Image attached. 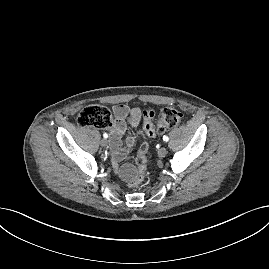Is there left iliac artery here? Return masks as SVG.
<instances>
[{
  "label": "left iliac artery",
  "mask_w": 269,
  "mask_h": 269,
  "mask_svg": "<svg viewBox=\"0 0 269 269\" xmlns=\"http://www.w3.org/2000/svg\"><path fill=\"white\" fill-rule=\"evenodd\" d=\"M163 140H164L165 142H167V141L169 140L168 136L164 135V136H163Z\"/></svg>",
  "instance_id": "44dca946"
}]
</instances>
